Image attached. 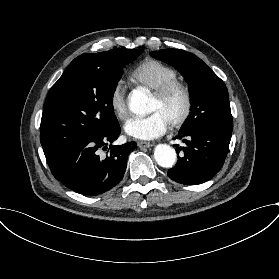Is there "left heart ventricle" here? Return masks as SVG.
<instances>
[{
  "mask_svg": "<svg viewBox=\"0 0 279 279\" xmlns=\"http://www.w3.org/2000/svg\"><path fill=\"white\" fill-rule=\"evenodd\" d=\"M183 106L184 100L180 92H175L164 100H159L153 95L150 112L160 111L171 124L181 114Z\"/></svg>",
  "mask_w": 279,
  "mask_h": 279,
  "instance_id": "obj_1",
  "label": "left heart ventricle"
}]
</instances>
